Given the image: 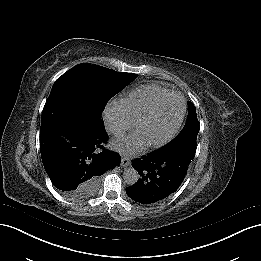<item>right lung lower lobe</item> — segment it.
I'll use <instances>...</instances> for the list:
<instances>
[{"label": "right lung lower lobe", "mask_w": 261, "mask_h": 261, "mask_svg": "<svg viewBox=\"0 0 261 261\" xmlns=\"http://www.w3.org/2000/svg\"><path fill=\"white\" fill-rule=\"evenodd\" d=\"M108 136L100 114L76 102L47 99L41 118L40 151L52 184L68 195L120 165V156L103 149Z\"/></svg>", "instance_id": "1"}]
</instances>
